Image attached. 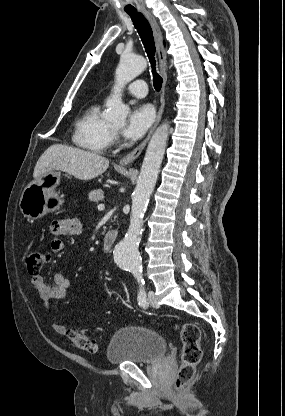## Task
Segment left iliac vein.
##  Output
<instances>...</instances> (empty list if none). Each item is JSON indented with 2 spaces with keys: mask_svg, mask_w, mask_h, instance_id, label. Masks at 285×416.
I'll use <instances>...</instances> for the list:
<instances>
[{
  "mask_svg": "<svg viewBox=\"0 0 285 416\" xmlns=\"http://www.w3.org/2000/svg\"><path fill=\"white\" fill-rule=\"evenodd\" d=\"M148 299H149V301H150V305H151L153 308L158 309V308L160 307V305H159V303H158V300H157V297L155 296V294H154V292H153L152 290H150V291L148 292Z\"/></svg>",
  "mask_w": 285,
  "mask_h": 416,
  "instance_id": "left-iliac-vein-1",
  "label": "left iliac vein"
}]
</instances>
